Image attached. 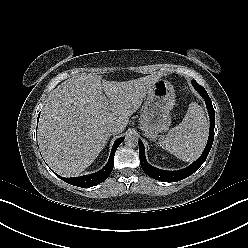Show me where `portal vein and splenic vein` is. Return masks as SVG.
<instances>
[{"label": "portal vein and splenic vein", "instance_id": "1", "mask_svg": "<svg viewBox=\"0 0 248 248\" xmlns=\"http://www.w3.org/2000/svg\"><path fill=\"white\" fill-rule=\"evenodd\" d=\"M102 99L105 102V108H107L109 105L107 98L105 96H103Z\"/></svg>", "mask_w": 248, "mask_h": 248}]
</instances>
